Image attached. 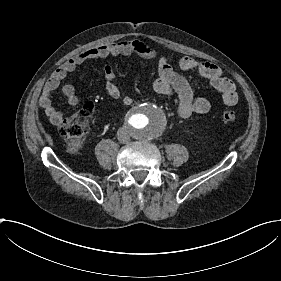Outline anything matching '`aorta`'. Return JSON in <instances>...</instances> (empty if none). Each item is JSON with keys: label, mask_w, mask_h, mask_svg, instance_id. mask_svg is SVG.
I'll use <instances>...</instances> for the list:
<instances>
[{"label": "aorta", "mask_w": 281, "mask_h": 281, "mask_svg": "<svg viewBox=\"0 0 281 281\" xmlns=\"http://www.w3.org/2000/svg\"><path fill=\"white\" fill-rule=\"evenodd\" d=\"M127 124L135 138L152 139L162 134L167 119L160 107L150 102H144L131 109Z\"/></svg>", "instance_id": "aorta-1"}]
</instances>
